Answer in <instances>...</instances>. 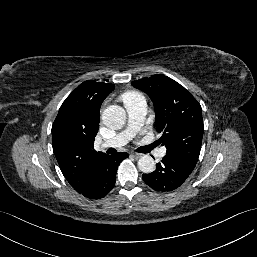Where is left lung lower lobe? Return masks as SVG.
<instances>
[{"instance_id":"0a47b994","label":"left lung lower lobe","mask_w":257,"mask_h":257,"mask_svg":"<svg viewBox=\"0 0 257 257\" xmlns=\"http://www.w3.org/2000/svg\"><path fill=\"white\" fill-rule=\"evenodd\" d=\"M191 167L181 160L165 155L156 170L150 174H143L144 182L156 191H172L178 188L193 171Z\"/></svg>"}]
</instances>
